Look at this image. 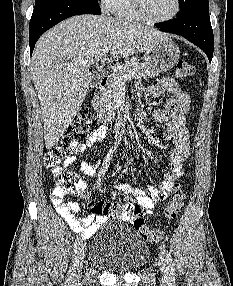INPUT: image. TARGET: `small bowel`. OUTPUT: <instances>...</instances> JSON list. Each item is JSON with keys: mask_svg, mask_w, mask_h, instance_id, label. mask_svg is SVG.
Returning a JSON list of instances; mask_svg holds the SVG:
<instances>
[{"mask_svg": "<svg viewBox=\"0 0 233 286\" xmlns=\"http://www.w3.org/2000/svg\"><path fill=\"white\" fill-rule=\"evenodd\" d=\"M136 91L138 95L145 93L152 98H158L165 93L172 95L164 108L155 109L152 113L154 120L167 124L164 139L174 142V148L169 153V169L158 186L148 185L143 189L127 183L116 184V190L134 198L133 203L120 205L102 200L92 202L91 212L82 217L76 215L80 209L79 204L74 201L65 202L64 196L66 195V190L57 186L51 193V202L70 228L74 232L80 233L83 239H88L95 234L102 224L115 215V211L118 208L124 211L120 218L125 222L132 221L133 215L131 211L134 208H138L141 213H151L158 201L168 197L176 180L183 174V163L190 154V133L186 126V116L189 112L191 102L189 94L183 91L180 85L171 78H163L158 83L147 87L138 84ZM106 136L107 128L105 126H100L90 131L85 136L84 141L76 146L74 155L64 161V165L69 166L74 164L79 155L84 153L88 148L103 141ZM100 164V161L92 164L86 160H82L80 168L85 175L94 176ZM76 194L85 196L86 191Z\"/></svg>", "mask_w": 233, "mask_h": 286, "instance_id": "1", "label": "small bowel"}]
</instances>
